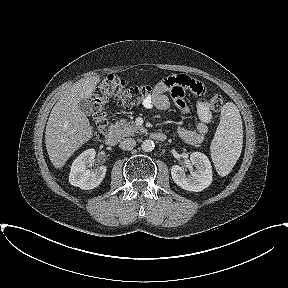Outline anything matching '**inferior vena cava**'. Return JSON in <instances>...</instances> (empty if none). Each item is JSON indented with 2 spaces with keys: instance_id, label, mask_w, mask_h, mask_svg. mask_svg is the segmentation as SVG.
<instances>
[{
  "instance_id": "inferior-vena-cava-1",
  "label": "inferior vena cava",
  "mask_w": 288,
  "mask_h": 288,
  "mask_svg": "<svg viewBox=\"0 0 288 288\" xmlns=\"http://www.w3.org/2000/svg\"><path fill=\"white\" fill-rule=\"evenodd\" d=\"M136 141L133 138H126L120 142V148L123 150H131L135 147Z\"/></svg>"
}]
</instances>
